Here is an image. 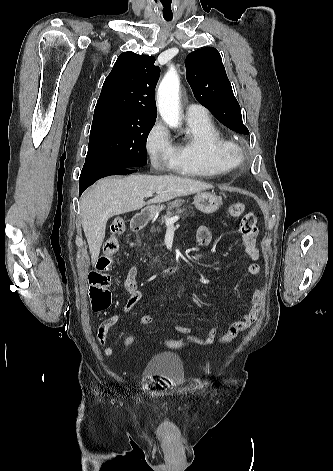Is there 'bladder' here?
<instances>
[{"instance_id":"obj_1","label":"bladder","mask_w":333,"mask_h":471,"mask_svg":"<svg viewBox=\"0 0 333 471\" xmlns=\"http://www.w3.org/2000/svg\"><path fill=\"white\" fill-rule=\"evenodd\" d=\"M143 374L166 379L173 386L181 385L185 378L182 360L178 355L171 352L154 355L145 365Z\"/></svg>"}]
</instances>
